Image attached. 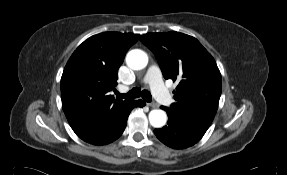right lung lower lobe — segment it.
<instances>
[{
	"instance_id": "obj_1",
	"label": "right lung lower lobe",
	"mask_w": 287,
	"mask_h": 175,
	"mask_svg": "<svg viewBox=\"0 0 287 175\" xmlns=\"http://www.w3.org/2000/svg\"><path fill=\"white\" fill-rule=\"evenodd\" d=\"M143 106H145L144 101L132 100V102L129 103L127 105V107H125L121 111V113L117 116V119L114 121L113 124H111L110 126L105 128L101 132L97 133L93 137L86 139L84 141H86L90 144H93V145H97V146L106 145V144H109V143L115 141L123 133V131L126 127V124H127L126 120L129 116V113L131 112V110L134 107H143Z\"/></svg>"
}]
</instances>
